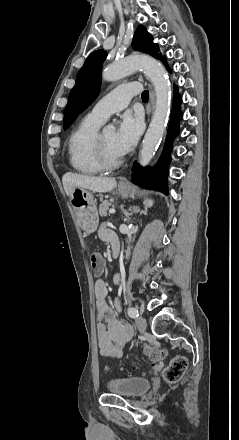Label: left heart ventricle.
Returning a JSON list of instances; mask_svg holds the SVG:
<instances>
[{
  "instance_id": "b2bd125f",
  "label": "left heart ventricle",
  "mask_w": 239,
  "mask_h": 440,
  "mask_svg": "<svg viewBox=\"0 0 239 440\" xmlns=\"http://www.w3.org/2000/svg\"><path fill=\"white\" fill-rule=\"evenodd\" d=\"M102 142L107 150L108 154L111 156H118L115 146H114V138L115 133L113 131H103L101 132Z\"/></svg>"
}]
</instances>
